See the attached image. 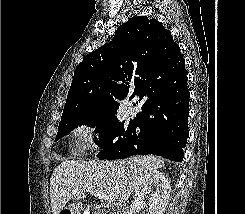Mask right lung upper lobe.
<instances>
[{"label": "right lung upper lobe", "mask_w": 245, "mask_h": 214, "mask_svg": "<svg viewBox=\"0 0 245 214\" xmlns=\"http://www.w3.org/2000/svg\"><path fill=\"white\" fill-rule=\"evenodd\" d=\"M185 61L170 31L146 16L120 25L111 42L89 53L74 71L63 114L116 112L119 100L145 96L153 82L175 84L186 76Z\"/></svg>", "instance_id": "1"}]
</instances>
